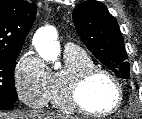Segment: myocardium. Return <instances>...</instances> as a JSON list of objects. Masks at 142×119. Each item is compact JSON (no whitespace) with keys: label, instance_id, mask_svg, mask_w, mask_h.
<instances>
[{"label":"myocardium","instance_id":"myocardium-1","mask_svg":"<svg viewBox=\"0 0 142 119\" xmlns=\"http://www.w3.org/2000/svg\"><path fill=\"white\" fill-rule=\"evenodd\" d=\"M98 75L108 78L117 90V101L115 105L107 111H93L82 101L84 88ZM61 96L63 104L69 110L93 117H105L114 114L119 110L124 100L120 81L111 72L98 66H91L81 69L76 73L66 75L62 82Z\"/></svg>","mask_w":142,"mask_h":119}]
</instances>
